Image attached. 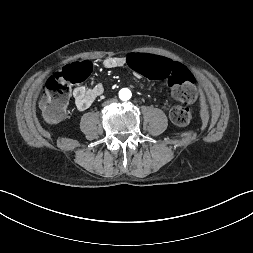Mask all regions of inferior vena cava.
<instances>
[{
  "label": "inferior vena cava",
  "instance_id": "1",
  "mask_svg": "<svg viewBox=\"0 0 253 253\" xmlns=\"http://www.w3.org/2000/svg\"><path fill=\"white\" fill-rule=\"evenodd\" d=\"M116 102H117V99H116L115 97H112V98H109V99H107V100H104V101L102 102V105H103L104 107H107V106H110V105L115 104Z\"/></svg>",
  "mask_w": 253,
  "mask_h": 253
}]
</instances>
